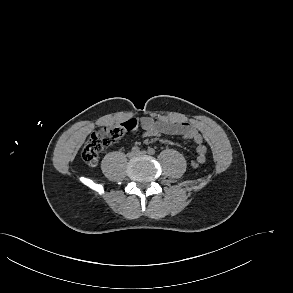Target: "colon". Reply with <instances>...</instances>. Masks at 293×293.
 <instances>
[{"mask_svg":"<svg viewBox=\"0 0 293 293\" xmlns=\"http://www.w3.org/2000/svg\"><path fill=\"white\" fill-rule=\"evenodd\" d=\"M135 126L134 120H129L122 125L108 126L96 130L85 143L82 149L83 161L90 165H96L99 154L110 145L116 143L122 138L126 129ZM205 161V155H200L193 163L194 167H198Z\"/></svg>","mask_w":293,"mask_h":293,"instance_id":"5ec220e1","label":"colon"}]
</instances>
